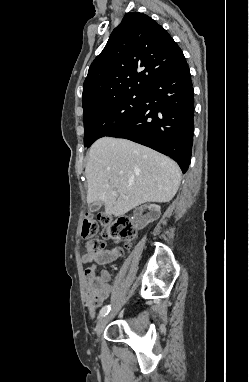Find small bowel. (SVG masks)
<instances>
[{
  "mask_svg": "<svg viewBox=\"0 0 249 382\" xmlns=\"http://www.w3.org/2000/svg\"><path fill=\"white\" fill-rule=\"evenodd\" d=\"M118 257L115 250H102L96 254L86 253L82 256L83 263H94L95 265H105L114 261ZM95 267L87 268L85 271V292H86V306L91 316H94L95 311L104 300L108 297L111 288L107 286L106 292L96 297L99 292L97 285L106 284L110 279V274L107 270H102L99 275L94 274Z\"/></svg>",
  "mask_w": 249,
  "mask_h": 382,
  "instance_id": "c3829d8e",
  "label": "small bowel"
}]
</instances>
